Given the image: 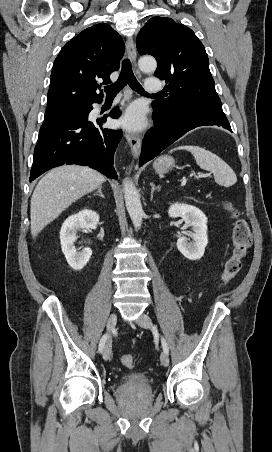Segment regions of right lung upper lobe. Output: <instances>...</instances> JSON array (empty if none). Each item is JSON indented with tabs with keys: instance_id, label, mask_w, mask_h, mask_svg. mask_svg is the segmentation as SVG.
I'll return each instance as SVG.
<instances>
[{
	"instance_id": "cb5924a9",
	"label": "right lung upper lobe",
	"mask_w": 272,
	"mask_h": 452,
	"mask_svg": "<svg viewBox=\"0 0 272 452\" xmlns=\"http://www.w3.org/2000/svg\"><path fill=\"white\" fill-rule=\"evenodd\" d=\"M124 42L110 25L100 23L83 30L62 48L54 61L45 115L65 114L101 102L99 84L110 83L119 69Z\"/></svg>"
}]
</instances>
